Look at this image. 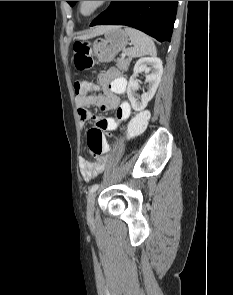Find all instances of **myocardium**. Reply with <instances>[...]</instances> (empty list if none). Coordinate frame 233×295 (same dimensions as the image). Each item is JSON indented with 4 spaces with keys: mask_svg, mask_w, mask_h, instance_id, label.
Returning a JSON list of instances; mask_svg holds the SVG:
<instances>
[{
    "mask_svg": "<svg viewBox=\"0 0 233 295\" xmlns=\"http://www.w3.org/2000/svg\"><path fill=\"white\" fill-rule=\"evenodd\" d=\"M109 2L110 1H78L77 13L83 18H90L106 7ZM89 4L91 5L90 9L85 10V6Z\"/></svg>",
    "mask_w": 233,
    "mask_h": 295,
    "instance_id": "obj_1",
    "label": "myocardium"
}]
</instances>
